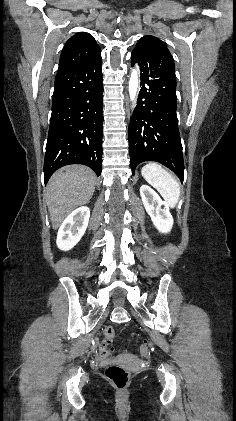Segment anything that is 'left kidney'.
<instances>
[{
  "instance_id": "5707ae66",
  "label": "left kidney",
  "mask_w": 236,
  "mask_h": 421,
  "mask_svg": "<svg viewBox=\"0 0 236 421\" xmlns=\"http://www.w3.org/2000/svg\"><path fill=\"white\" fill-rule=\"evenodd\" d=\"M140 194L145 206V211L151 217V221L158 229L159 233H170L173 225V217L169 213V206L161 200L159 194L148 186V184H142L140 186ZM164 204V208H162Z\"/></svg>"
}]
</instances>
